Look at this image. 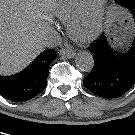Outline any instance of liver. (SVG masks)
I'll list each match as a JSON object with an SVG mask.
<instances>
[{
	"label": "liver",
	"instance_id": "obj_1",
	"mask_svg": "<svg viewBox=\"0 0 135 135\" xmlns=\"http://www.w3.org/2000/svg\"><path fill=\"white\" fill-rule=\"evenodd\" d=\"M54 0H0V75L15 74L44 49Z\"/></svg>",
	"mask_w": 135,
	"mask_h": 135
}]
</instances>
